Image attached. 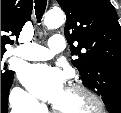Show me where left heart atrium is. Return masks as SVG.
I'll return each mask as SVG.
<instances>
[{
  "label": "left heart atrium",
  "instance_id": "1",
  "mask_svg": "<svg viewBox=\"0 0 121 113\" xmlns=\"http://www.w3.org/2000/svg\"><path fill=\"white\" fill-rule=\"evenodd\" d=\"M23 84L38 98L55 104L63 90V76L46 65H32L20 75Z\"/></svg>",
  "mask_w": 121,
  "mask_h": 113
}]
</instances>
